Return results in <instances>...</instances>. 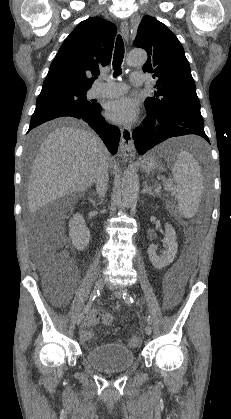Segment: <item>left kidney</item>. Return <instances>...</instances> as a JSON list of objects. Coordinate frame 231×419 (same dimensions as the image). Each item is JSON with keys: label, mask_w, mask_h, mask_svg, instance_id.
<instances>
[{"label": "left kidney", "mask_w": 231, "mask_h": 419, "mask_svg": "<svg viewBox=\"0 0 231 419\" xmlns=\"http://www.w3.org/2000/svg\"><path fill=\"white\" fill-rule=\"evenodd\" d=\"M163 241L166 243L167 249L162 256L157 255L156 246L154 244H151L148 248L150 261L157 269H162L171 264L174 261L178 250L176 232L172 225L168 223L165 225V237Z\"/></svg>", "instance_id": "5707ae66"}]
</instances>
